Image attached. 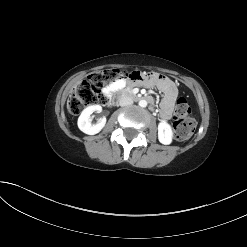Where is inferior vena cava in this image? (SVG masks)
Segmentation results:
<instances>
[{
  "instance_id": "obj_1",
  "label": "inferior vena cava",
  "mask_w": 247,
  "mask_h": 247,
  "mask_svg": "<svg viewBox=\"0 0 247 247\" xmlns=\"http://www.w3.org/2000/svg\"><path fill=\"white\" fill-rule=\"evenodd\" d=\"M133 104V99L127 95V94H123L120 96L119 98V105L120 106H128Z\"/></svg>"
}]
</instances>
